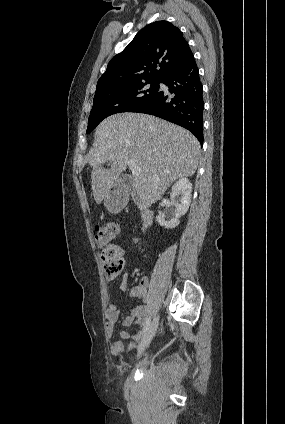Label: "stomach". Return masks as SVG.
Returning <instances> with one entry per match:
<instances>
[{"mask_svg":"<svg viewBox=\"0 0 285 424\" xmlns=\"http://www.w3.org/2000/svg\"><path fill=\"white\" fill-rule=\"evenodd\" d=\"M104 205L110 212H116L121 208V203L119 202V197L110 191L105 199H104Z\"/></svg>","mask_w":285,"mask_h":424,"instance_id":"obj_1","label":"stomach"}]
</instances>
